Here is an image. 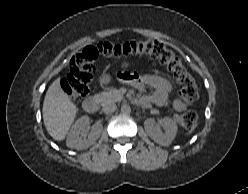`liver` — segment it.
<instances>
[{
  "instance_id": "1",
  "label": "liver",
  "mask_w": 248,
  "mask_h": 194,
  "mask_svg": "<svg viewBox=\"0 0 248 194\" xmlns=\"http://www.w3.org/2000/svg\"><path fill=\"white\" fill-rule=\"evenodd\" d=\"M42 113L50 136L56 141L64 140L77 116L78 108L61 89L60 78L49 86L44 98Z\"/></svg>"
}]
</instances>
